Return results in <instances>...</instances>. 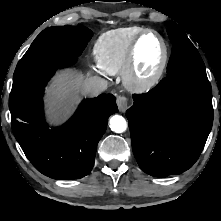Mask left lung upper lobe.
I'll return each instance as SVG.
<instances>
[{
  "label": "left lung upper lobe",
  "mask_w": 221,
  "mask_h": 221,
  "mask_svg": "<svg viewBox=\"0 0 221 221\" xmlns=\"http://www.w3.org/2000/svg\"><path fill=\"white\" fill-rule=\"evenodd\" d=\"M167 32L173 41L167 75L192 74L207 77L202 58L184 30L177 24H173L172 27L167 29Z\"/></svg>",
  "instance_id": "left-lung-upper-lobe-1"
}]
</instances>
